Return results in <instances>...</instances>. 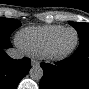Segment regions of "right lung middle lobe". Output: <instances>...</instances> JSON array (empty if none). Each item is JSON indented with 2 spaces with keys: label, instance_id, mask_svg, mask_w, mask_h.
Masks as SVG:
<instances>
[{
  "label": "right lung middle lobe",
  "instance_id": "right-lung-middle-lobe-1",
  "mask_svg": "<svg viewBox=\"0 0 89 89\" xmlns=\"http://www.w3.org/2000/svg\"><path fill=\"white\" fill-rule=\"evenodd\" d=\"M21 26V22L15 19L0 18V39H9L11 33Z\"/></svg>",
  "mask_w": 89,
  "mask_h": 89
}]
</instances>
